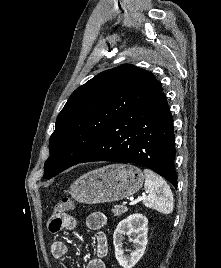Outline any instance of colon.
I'll use <instances>...</instances> for the list:
<instances>
[{
  "mask_svg": "<svg viewBox=\"0 0 221 268\" xmlns=\"http://www.w3.org/2000/svg\"><path fill=\"white\" fill-rule=\"evenodd\" d=\"M73 207H74L73 201L68 197H64L56 202L54 206V214L57 215L65 214L66 211L72 209Z\"/></svg>",
  "mask_w": 221,
  "mask_h": 268,
  "instance_id": "1",
  "label": "colon"
}]
</instances>
